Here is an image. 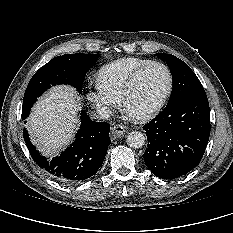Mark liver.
<instances>
[{
    "mask_svg": "<svg viewBox=\"0 0 233 233\" xmlns=\"http://www.w3.org/2000/svg\"><path fill=\"white\" fill-rule=\"evenodd\" d=\"M81 104L75 91L58 86L49 91L34 106L27 121L32 140L45 155H55L74 136Z\"/></svg>",
    "mask_w": 233,
    "mask_h": 233,
    "instance_id": "6515ba94",
    "label": "liver"
}]
</instances>
